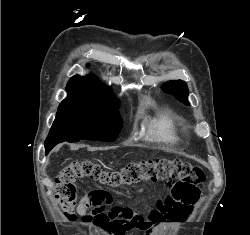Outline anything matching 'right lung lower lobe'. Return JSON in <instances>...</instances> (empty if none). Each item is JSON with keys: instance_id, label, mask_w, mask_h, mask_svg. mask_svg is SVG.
I'll return each instance as SVG.
<instances>
[{"instance_id": "1", "label": "right lung lower lobe", "mask_w": 250, "mask_h": 235, "mask_svg": "<svg viewBox=\"0 0 250 235\" xmlns=\"http://www.w3.org/2000/svg\"><path fill=\"white\" fill-rule=\"evenodd\" d=\"M55 145H56V144H48V145H45L46 154H48L49 151H50Z\"/></svg>"}]
</instances>
